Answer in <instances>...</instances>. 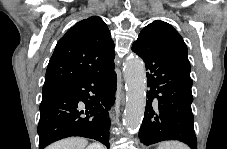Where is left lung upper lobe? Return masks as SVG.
Wrapping results in <instances>:
<instances>
[{
  "label": "left lung upper lobe",
  "mask_w": 227,
  "mask_h": 149,
  "mask_svg": "<svg viewBox=\"0 0 227 149\" xmlns=\"http://www.w3.org/2000/svg\"><path fill=\"white\" fill-rule=\"evenodd\" d=\"M145 28L151 29L160 43L190 73L187 46L180 34L168 23L157 20Z\"/></svg>",
  "instance_id": "5c2ea615"
}]
</instances>
